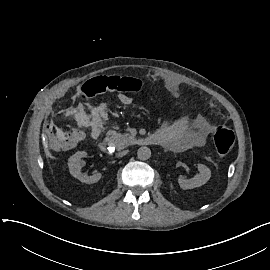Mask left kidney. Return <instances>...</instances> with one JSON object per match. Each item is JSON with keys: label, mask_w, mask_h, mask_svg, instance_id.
<instances>
[{"label": "left kidney", "mask_w": 270, "mask_h": 270, "mask_svg": "<svg viewBox=\"0 0 270 270\" xmlns=\"http://www.w3.org/2000/svg\"><path fill=\"white\" fill-rule=\"evenodd\" d=\"M200 174L191 179L179 178L178 183L182 189H193L204 185L211 177L210 169L204 164H198Z\"/></svg>", "instance_id": "left-kidney-1"}]
</instances>
